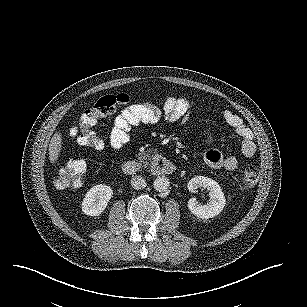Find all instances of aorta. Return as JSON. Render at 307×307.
Segmentation results:
<instances>
[{
	"label": "aorta",
	"instance_id": "1",
	"mask_svg": "<svg viewBox=\"0 0 307 307\" xmlns=\"http://www.w3.org/2000/svg\"><path fill=\"white\" fill-rule=\"evenodd\" d=\"M170 186L169 179L166 177H157L153 182V187L158 192H165Z\"/></svg>",
	"mask_w": 307,
	"mask_h": 307
}]
</instances>
